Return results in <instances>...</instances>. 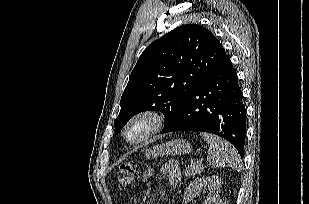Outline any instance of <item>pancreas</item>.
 <instances>
[{"instance_id":"cf45deb5","label":"pancreas","mask_w":309,"mask_h":204,"mask_svg":"<svg viewBox=\"0 0 309 204\" xmlns=\"http://www.w3.org/2000/svg\"><path fill=\"white\" fill-rule=\"evenodd\" d=\"M204 167L201 163H192L188 165L186 170L183 171L186 177L194 176L203 171Z\"/></svg>"}]
</instances>
